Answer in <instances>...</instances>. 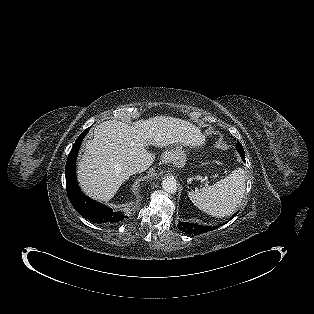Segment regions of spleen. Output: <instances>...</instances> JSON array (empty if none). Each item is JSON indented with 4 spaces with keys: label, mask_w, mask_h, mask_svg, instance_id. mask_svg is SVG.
<instances>
[{
    "label": "spleen",
    "mask_w": 314,
    "mask_h": 314,
    "mask_svg": "<svg viewBox=\"0 0 314 314\" xmlns=\"http://www.w3.org/2000/svg\"><path fill=\"white\" fill-rule=\"evenodd\" d=\"M245 193V173L238 168L215 184L189 191L192 203L204 213L214 217H226L239 207Z\"/></svg>",
    "instance_id": "3e777b00"
}]
</instances>
